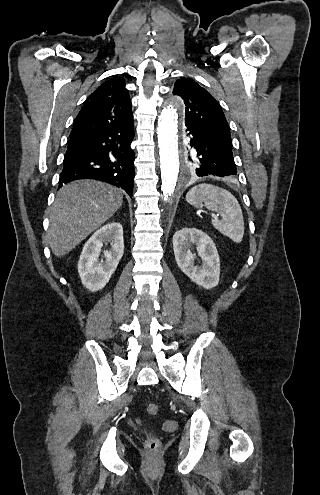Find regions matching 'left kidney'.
Instances as JSON below:
<instances>
[{
	"mask_svg": "<svg viewBox=\"0 0 320 495\" xmlns=\"http://www.w3.org/2000/svg\"><path fill=\"white\" fill-rule=\"evenodd\" d=\"M177 265L194 283L212 289L219 283L220 258L212 239L197 229L185 228L177 231L172 239ZM195 245L202 266L195 264L196 254L190 251Z\"/></svg>",
	"mask_w": 320,
	"mask_h": 495,
	"instance_id": "5707ae66",
	"label": "left kidney"
}]
</instances>
